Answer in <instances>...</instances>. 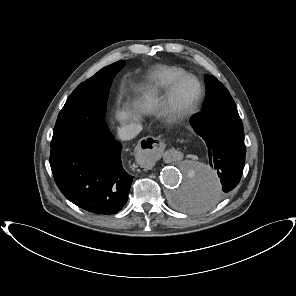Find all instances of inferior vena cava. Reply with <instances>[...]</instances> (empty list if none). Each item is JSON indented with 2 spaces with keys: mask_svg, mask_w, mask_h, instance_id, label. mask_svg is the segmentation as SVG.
Returning a JSON list of instances; mask_svg holds the SVG:
<instances>
[{
  "mask_svg": "<svg viewBox=\"0 0 296 296\" xmlns=\"http://www.w3.org/2000/svg\"><path fill=\"white\" fill-rule=\"evenodd\" d=\"M142 130L139 123H131L119 129V136L122 140H130L138 135Z\"/></svg>",
  "mask_w": 296,
  "mask_h": 296,
  "instance_id": "1",
  "label": "inferior vena cava"
}]
</instances>
